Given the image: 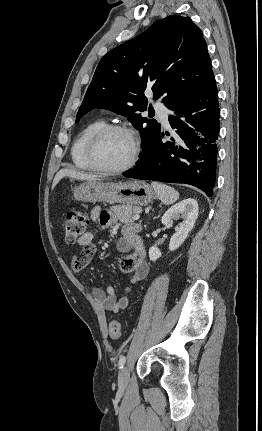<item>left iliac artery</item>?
<instances>
[{
    "instance_id": "obj_1",
    "label": "left iliac artery",
    "mask_w": 262,
    "mask_h": 431,
    "mask_svg": "<svg viewBox=\"0 0 262 431\" xmlns=\"http://www.w3.org/2000/svg\"><path fill=\"white\" fill-rule=\"evenodd\" d=\"M126 358L125 356H121L119 359V368H123L124 364H125Z\"/></svg>"
}]
</instances>
